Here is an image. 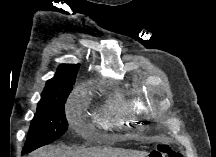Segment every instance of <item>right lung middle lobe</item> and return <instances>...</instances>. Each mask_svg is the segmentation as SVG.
I'll list each match as a JSON object with an SVG mask.
<instances>
[{
	"instance_id": "1",
	"label": "right lung middle lobe",
	"mask_w": 216,
	"mask_h": 157,
	"mask_svg": "<svg viewBox=\"0 0 216 157\" xmlns=\"http://www.w3.org/2000/svg\"><path fill=\"white\" fill-rule=\"evenodd\" d=\"M72 89H64L37 106L22 153H29L62 136L68 128L64 104Z\"/></svg>"
}]
</instances>
